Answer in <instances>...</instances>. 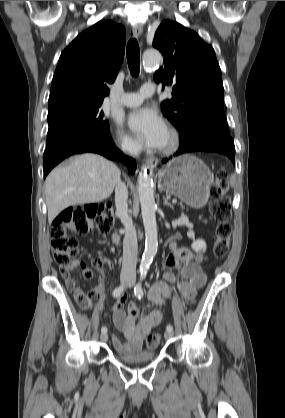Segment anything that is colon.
Instances as JSON below:
<instances>
[{"instance_id": "colon-1", "label": "colon", "mask_w": 285, "mask_h": 418, "mask_svg": "<svg viewBox=\"0 0 285 418\" xmlns=\"http://www.w3.org/2000/svg\"><path fill=\"white\" fill-rule=\"evenodd\" d=\"M228 187L224 173L218 174L217 180L211 188L212 203L209 206L210 217L216 222L212 255L216 259H223L229 250L231 234V208L227 200ZM114 224V218L108 207L97 203L83 206H70L64 209L52 222L51 246L53 255L61 267V275L67 273L66 267L72 265L80 251L77 235H86L93 231L107 233ZM92 267L99 269L107 264L99 256L90 261ZM82 272L86 277L91 271L82 265ZM76 298L87 303L89 295L83 289L76 287L73 282ZM160 342V335L153 334L146 339V348L154 349Z\"/></svg>"}]
</instances>
